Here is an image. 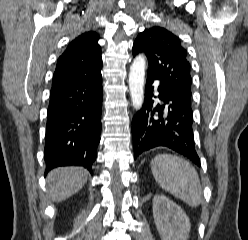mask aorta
<instances>
[{
	"mask_svg": "<svg viewBox=\"0 0 248 240\" xmlns=\"http://www.w3.org/2000/svg\"><path fill=\"white\" fill-rule=\"evenodd\" d=\"M145 63V57L140 55L130 67L128 84L132 105L136 110H140L144 102Z\"/></svg>",
	"mask_w": 248,
	"mask_h": 240,
	"instance_id": "obj_1",
	"label": "aorta"
}]
</instances>
